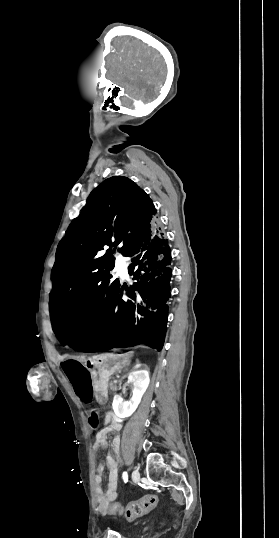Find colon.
<instances>
[{
    "mask_svg": "<svg viewBox=\"0 0 279 538\" xmlns=\"http://www.w3.org/2000/svg\"><path fill=\"white\" fill-rule=\"evenodd\" d=\"M156 504L157 497L153 494H149L137 501L129 503L125 507L118 503H113L107 508L100 509V511L104 513L123 515L127 519H134L148 513L156 506Z\"/></svg>",
    "mask_w": 279,
    "mask_h": 538,
    "instance_id": "5ec220e1",
    "label": "colon"
}]
</instances>
